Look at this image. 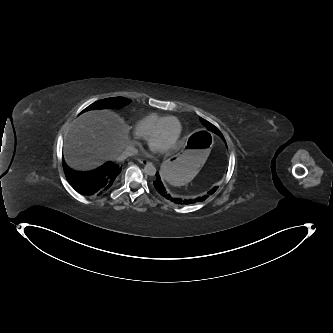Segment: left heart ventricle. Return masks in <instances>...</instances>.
I'll use <instances>...</instances> for the list:
<instances>
[{
	"label": "left heart ventricle",
	"mask_w": 333,
	"mask_h": 333,
	"mask_svg": "<svg viewBox=\"0 0 333 333\" xmlns=\"http://www.w3.org/2000/svg\"><path fill=\"white\" fill-rule=\"evenodd\" d=\"M178 133V125L175 120H169L163 127L162 131L155 137L152 144L165 149L176 138Z\"/></svg>",
	"instance_id": "b2bd125f"
}]
</instances>
